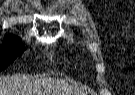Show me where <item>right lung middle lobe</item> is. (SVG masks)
I'll return each instance as SVG.
<instances>
[{"label":"right lung middle lobe","instance_id":"obj_1","mask_svg":"<svg viewBox=\"0 0 135 95\" xmlns=\"http://www.w3.org/2000/svg\"><path fill=\"white\" fill-rule=\"evenodd\" d=\"M25 50L21 39L16 36H9L0 47V71L5 69L9 64L21 55Z\"/></svg>","mask_w":135,"mask_h":95}]
</instances>
